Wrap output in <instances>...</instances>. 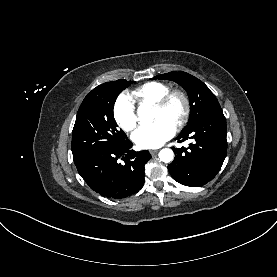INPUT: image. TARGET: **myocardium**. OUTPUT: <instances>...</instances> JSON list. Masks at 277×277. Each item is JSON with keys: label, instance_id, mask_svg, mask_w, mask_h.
Wrapping results in <instances>:
<instances>
[{"label": "myocardium", "instance_id": "obj_1", "mask_svg": "<svg viewBox=\"0 0 277 277\" xmlns=\"http://www.w3.org/2000/svg\"><path fill=\"white\" fill-rule=\"evenodd\" d=\"M176 98L180 99L182 102V111L175 125L181 127L188 121L191 111L190 99L186 92L180 89L169 90L153 104V107L160 110H166Z\"/></svg>", "mask_w": 277, "mask_h": 277}]
</instances>
